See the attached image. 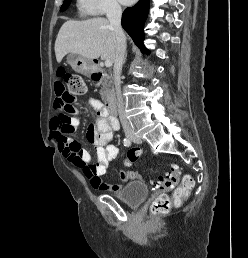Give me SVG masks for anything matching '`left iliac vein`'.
<instances>
[{
    "label": "left iliac vein",
    "mask_w": 248,
    "mask_h": 258,
    "mask_svg": "<svg viewBox=\"0 0 248 258\" xmlns=\"http://www.w3.org/2000/svg\"><path fill=\"white\" fill-rule=\"evenodd\" d=\"M131 140L134 142V143H137V144H141L142 143V139L140 136H131L130 137Z\"/></svg>",
    "instance_id": "4c4485c4"
}]
</instances>
